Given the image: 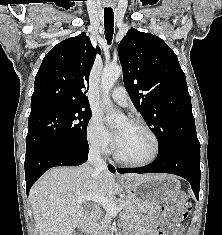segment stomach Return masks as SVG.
<instances>
[{"label": "stomach", "instance_id": "stomach-1", "mask_svg": "<svg viewBox=\"0 0 222 235\" xmlns=\"http://www.w3.org/2000/svg\"><path fill=\"white\" fill-rule=\"evenodd\" d=\"M124 188L127 199L140 209L165 202L177 194L180 183L174 176L157 175L140 182H126Z\"/></svg>", "mask_w": 222, "mask_h": 235}]
</instances>
